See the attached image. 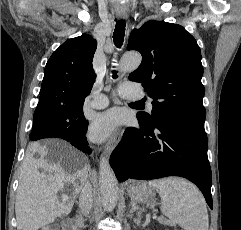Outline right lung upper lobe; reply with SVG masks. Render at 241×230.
<instances>
[{
  "mask_svg": "<svg viewBox=\"0 0 241 230\" xmlns=\"http://www.w3.org/2000/svg\"><path fill=\"white\" fill-rule=\"evenodd\" d=\"M97 42L90 35L64 42L49 58L41 85L36 113L83 105L96 75L92 60Z\"/></svg>",
  "mask_w": 241,
  "mask_h": 230,
  "instance_id": "obj_1",
  "label": "right lung upper lobe"
}]
</instances>
